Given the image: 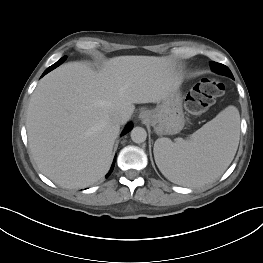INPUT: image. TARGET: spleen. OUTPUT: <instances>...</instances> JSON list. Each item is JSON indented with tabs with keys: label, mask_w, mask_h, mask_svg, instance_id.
<instances>
[{
	"label": "spleen",
	"mask_w": 263,
	"mask_h": 263,
	"mask_svg": "<svg viewBox=\"0 0 263 263\" xmlns=\"http://www.w3.org/2000/svg\"><path fill=\"white\" fill-rule=\"evenodd\" d=\"M239 135L238 109L228 106L189 140L158 138L154 158L169 181L186 187L201 186L216 180L228 168L236 154Z\"/></svg>",
	"instance_id": "1"
}]
</instances>
